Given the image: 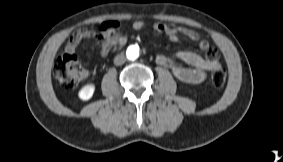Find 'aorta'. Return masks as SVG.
Instances as JSON below:
<instances>
[{
	"mask_svg": "<svg viewBox=\"0 0 283 162\" xmlns=\"http://www.w3.org/2000/svg\"><path fill=\"white\" fill-rule=\"evenodd\" d=\"M127 56L129 59L134 60L139 56V47L138 46H130L127 49Z\"/></svg>",
	"mask_w": 283,
	"mask_h": 162,
	"instance_id": "1",
	"label": "aorta"
}]
</instances>
